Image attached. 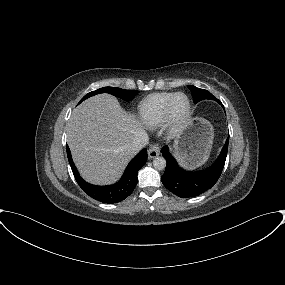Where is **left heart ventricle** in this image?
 <instances>
[{"instance_id": "left-heart-ventricle-1", "label": "left heart ventricle", "mask_w": 285, "mask_h": 285, "mask_svg": "<svg viewBox=\"0 0 285 285\" xmlns=\"http://www.w3.org/2000/svg\"><path fill=\"white\" fill-rule=\"evenodd\" d=\"M187 99L184 96H179L175 101V112L177 115H182L187 108Z\"/></svg>"}]
</instances>
